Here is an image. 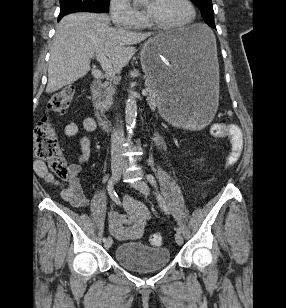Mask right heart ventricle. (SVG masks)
Masks as SVG:
<instances>
[{"label":"right heart ventricle","instance_id":"e07e8e85","mask_svg":"<svg viewBox=\"0 0 286 308\" xmlns=\"http://www.w3.org/2000/svg\"><path fill=\"white\" fill-rule=\"evenodd\" d=\"M145 25H146V23H145V22H142V24H141V26H140V27L145 26Z\"/></svg>","mask_w":286,"mask_h":308}]
</instances>
